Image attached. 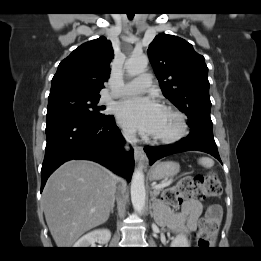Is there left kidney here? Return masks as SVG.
Instances as JSON below:
<instances>
[{"mask_svg":"<svg viewBox=\"0 0 261 261\" xmlns=\"http://www.w3.org/2000/svg\"><path fill=\"white\" fill-rule=\"evenodd\" d=\"M171 247H176V248L189 247V242L186 239V237L182 235H178L176 238L173 239L171 243Z\"/></svg>","mask_w":261,"mask_h":261,"instance_id":"5707ae66","label":"left kidney"}]
</instances>
